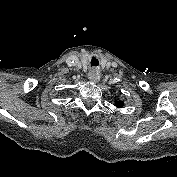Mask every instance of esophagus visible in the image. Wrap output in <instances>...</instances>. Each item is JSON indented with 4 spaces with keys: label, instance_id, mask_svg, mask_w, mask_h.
Returning a JSON list of instances; mask_svg holds the SVG:
<instances>
[{
    "label": "esophagus",
    "instance_id": "34e87169",
    "mask_svg": "<svg viewBox=\"0 0 177 177\" xmlns=\"http://www.w3.org/2000/svg\"><path fill=\"white\" fill-rule=\"evenodd\" d=\"M88 78L92 82H98L100 80V72L97 68H92L88 74Z\"/></svg>",
    "mask_w": 177,
    "mask_h": 177
}]
</instances>
